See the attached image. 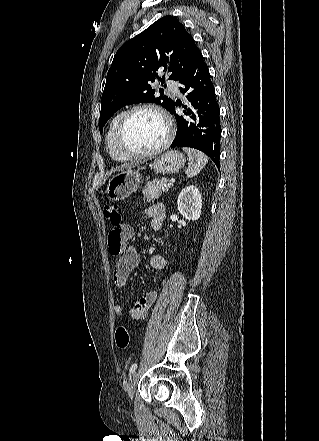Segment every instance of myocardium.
<instances>
[{"label":"myocardium","mask_w":319,"mask_h":441,"mask_svg":"<svg viewBox=\"0 0 319 441\" xmlns=\"http://www.w3.org/2000/svg\"><path fill=\"white\" fill-rule=\"evenodd\" d=\"M144 110L154 112L162 119V121L165 124L166 135H165L164 140L157 147H155L151 150H148V151H144V152H134V151H131L125 147L123 140H122V133H123L124 127H125L127 121L129 120V118L134 113H136L138 111H144ZM174 135H175V126H174V123H173L171 117L169 116V114L164 109H162L161 107H159L157 105L145 103V104L135 105L124 112V114L122 115L121 119L119 120L117 128H116L115 140H116V145H117L118 149L125 156H127L129 158H147V157H151V156H155L157 154H160L165 149H167V147L172 142Z\"/></svg>","instance_id":"f54148a6"}]
</instances>
